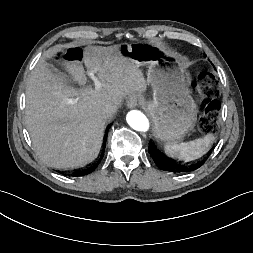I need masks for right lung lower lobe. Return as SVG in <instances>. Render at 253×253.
Returning a JSON list of instances; mask_svg holds the SVG:
<instances>
[{"label": "right lung lower lobe", "mask_w": 253, "mask_h": 253, "mask_svg": "<svg viewBox=\"0 0 253 253\" xmlns=\"http://www.w3.org/2000/svg\"><path fill=\"white\" fill-rule=\"evenodd\" d=\"M93 170H89L87 173H75L74 176H82L88 173H91Z\"/></svg>", "instance_id": "1"}]
</instances>
